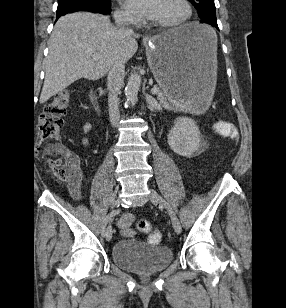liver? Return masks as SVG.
<instances>
[{
	"label": "liver",
	"instance_id": "liver-1",
	"mask_svg": "<svg viewBox=\"0 0 286 308\" xmlns=\"http://www.w3.org/2000/svg\"><path fill=\"white\" fill-rule=\"evenodd\" d=\"M138 37L114 27L108 16L77 12L60 17L49 40L40 103L78 79L104 77L116 61L126 63L138 49ZM93 51L99 59H93Z\"/></svg>",
	"mask_w": 286,
	"mask_h": 308
}]
</instances>
